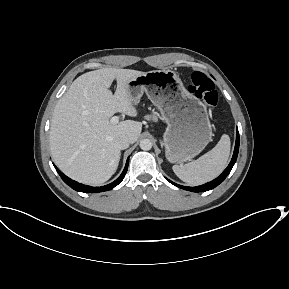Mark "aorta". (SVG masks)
I'll return each mask as SVG.
<instances>
[{"label": "aorta", "mask_w": 289, "mask_h": 289, "mask_svg": "<svg viewBox=\"0 0 289 289\" xmlns=\"http://www.w3.org/2000/svg\"><path fill=\"white\" fill-rule=\"evenodd\" d=\"M140 148L142 150H150L152 148V142L149 139H143L140 141Z\"/></svg>", "instance_id": "1"}]
</instances>
